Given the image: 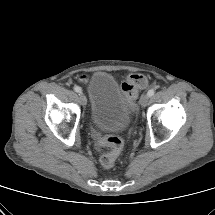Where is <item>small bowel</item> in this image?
Here are the masks:
<instances>
[{
    "mask_svg": "<svg viewBox=\"0 0 215 215\" xmlns=\"http://www.w3.org/2000/svg\"><path fill=\"white\" fill-rule=\"evenodd\" d=\"M86 80V78L83 76V77H81V79H80V81H85Z\"/></svg>",
    "mask_w": 215,
    "mask_h": 215,
    "instance_id": "obj_1",
    "label": "small bowel"
}]
</instances>
